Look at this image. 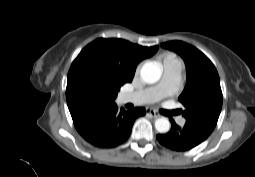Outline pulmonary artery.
<instances>
[{
    "mask_svg": "<svg viewBox=\"0 0 255 177\" xmlns=\"http://www.w3.org/2000/svg\"><path fill=\"white\" fill-rule=\"evenodd\" d=\"M180 82V71H165L160 83L154 87L144 90L122 94L120 99L123 103L148 104L173 94ZM185 120L180 118L179 124H184Z\"/></svg>",
    "mask_w": 255,
    "mask_h": 177,
    "instance_id": "pulmonary-artery-1",
    "label": "pulmonary artery"
}]
</instances>
